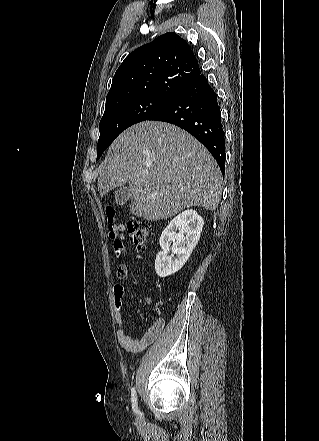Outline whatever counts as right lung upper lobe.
Returning <instances> with one entry per match:
<instances>
[{
    "label": "right lung upper lobe",
    "instance_id": "right-lung-upper-lobe-1",
    "mask_svg": "<svg viewBox=\"0 0 319 441\" xmlns=\"http://www.w3.org/2000/svg\"><path fill=\"white\" fill-rule=\"evenodd\" d=\"M200 74L188 43L175 33H165L124 59L113 77L105 109L146 96L172 99Z\"/></svg>",
    "mask_w": 319,
    "mask_h": 441
}]
</instances>
